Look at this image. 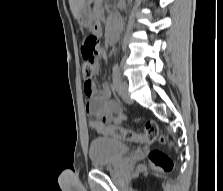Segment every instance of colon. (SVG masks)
Segmentation results:
<instances>
[{"mask_svg":"<svg viewBox=\"0 0 223 191\" xmlns=\"http://www.w3.org/2000/svg\"><path fill=\"white\" fill-rule=\"evenodd\" d=\"M99 49L100 40L97 35L91 34L85 38L81 47V54L83 58L81 71L86 83L93 82L92 79L95 72L96 57ZM103 134L134 143L151 144L156 140L161 144L166 142L165 137L159 134L158 127L154 121H147L145 123V131L143 133L118 126H109L103 130ZM149 164L151 168L162 173H170L174 167L170 156L160 149H153L150 151Z\"/></svg>","mask_w":223,"mask_h":191,"instance_id":"5ec220e1","label":"colon"}]
</instances>
